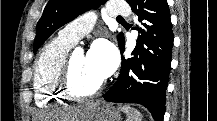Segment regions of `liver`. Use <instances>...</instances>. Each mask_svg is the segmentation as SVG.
<instances>
[{"label":"liver","instance_id":"6515ba94","mask_svg":"<svg viewBox=\"0 0 217 121\" xmlns=\"http://www.w3.org/2000/svg\"><path fill=\"white\" fill-rule=\"evenodd\" d=\"M97 105V103L87 104L81 108L71 109L66 114L64 113L65 119H71V121H87V118L92 111V109Z\"/></svg>","mask_w":217,"mask_h":121}]
</instances>
